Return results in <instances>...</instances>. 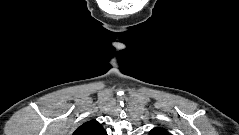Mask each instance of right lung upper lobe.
I'll list each match as a JSON object with an SVG mask.
<instances>
[{
  "label": "right lung upper lobe",
  "mask_w": 239,
  "mask_h": 135,
  "mask_svg": "<svg viewBox=\"0 0 239 135\" xmlns=\"http://www.w3.org/2000/svg\"><path fill=\"white\" fill-rule=\"evenodd\" d=\"M73 135H107V133L99 122L90 120L78 127Z\"/></svg>",
  "instance_id": "1"
}]
</instances>
